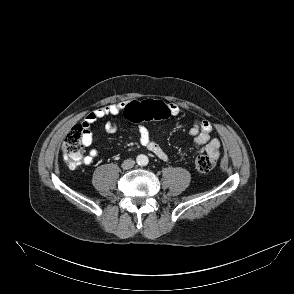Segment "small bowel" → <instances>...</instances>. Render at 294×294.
I'll use <instances>...</instances> for the list:
<instances>
[{"instance_id": "obj_1", "label": "small bowel", "mask_w": 294, "mask_h": 294, "mask_svg": "<svg viewBox=\"0 0 294 294\" xmlns=\"http://www.w3.org/2000/svg\"><path fill=\"white\" fill-rule=\"evenodd\" d=\"M127 103L121 102L118 104H110L101 108H98L84 118L81 126L84 130L83 141L85 146H90L93 142V135L90 127L100 119L107 116H116L123 112ZM171 115L176 116L180 112L178 105L174 103L168 104ZM106 132L115 133L117 131V124L112 121H107L104 125ZM139 141L142 146L147 148L153 155L162 161L168 160V155L162 146L153 140L150 136L148 129L140 125ZM212 126L208 121L195 120L192 127L189 129L188 134L194 137V145L198 153L206 152L208 155L213 156L215 159L219 157L220 141L217 138L211 137ZM99 155V151L96 148H91L87 156L83 159V163L88 165L93 162Z\"/></svg>"}]
</instances>
